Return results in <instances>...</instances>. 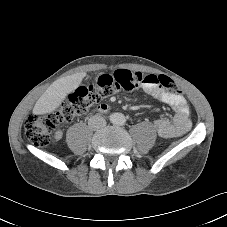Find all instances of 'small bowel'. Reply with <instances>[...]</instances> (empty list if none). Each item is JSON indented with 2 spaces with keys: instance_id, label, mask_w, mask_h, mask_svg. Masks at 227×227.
I'll return each instance as SVG.
<instances>
[{
  "instance_id": "small-bowel-1",
  "label": "small bowel",
  "mask_w": 227,
  "mask_h": 227,
  "mask_svg": "<svg viewBox=\"0 0 227 227\" xmlns=\"http://www.w3.org/2000/svg\"><path fill=\"white\" fill-rule=\"evenodd\" d=\"M143 90L153 98L169 105L175 112L172 120L158 118L154 121V126L159 136L173 138L185 134L190 129V108L181 94L169 92L157 84H146L143 86ZM61 137L62 133L58 131L56 138L60 139Z\"/></svg>"
}]
</instances>
